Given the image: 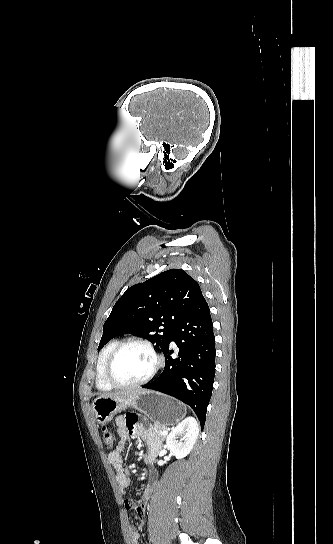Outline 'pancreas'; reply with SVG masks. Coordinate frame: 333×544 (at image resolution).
<instances>
[{"instance_id":"1","label":"pancreas","mask_w":333,"mask_h":544,"mask_svg":"<svg viewBox=\"0 0 333 544\" xmlns=\"http://www.w3.org/2000/svg\"><path fill=\"white\" fill-rule=\"evenodd\" d=\"M165 430V427L154 424V426H152L149 431L153 434L159 435L161 439L164 440L166 436L162 435L161 433Z\"/></svg>"}]
</instances>
